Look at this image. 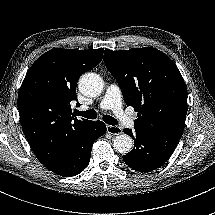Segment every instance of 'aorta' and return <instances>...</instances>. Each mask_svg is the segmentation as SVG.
Listing matches in <instances>:
<instances>
[{
	"label": "aorta",
	"instance_id": "aorta-1",
	"mask_svg": "<svg viewBox=\"0 0 215 215\" xmlns=\"http://www.w3.org/2000/svg\"><path fill=\"white\" fill-rule=\"evenodd\" d=\"M79 88L87 97L98 96L102 92L101 78L96 74L86 73L80 78ZM112 145L118 153L126 154L133 149V140L122 133L113 138Z\"/></svg>",
	"mask_w": 215,
	"mask_h": 215
}]
</instances>
